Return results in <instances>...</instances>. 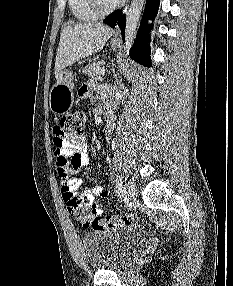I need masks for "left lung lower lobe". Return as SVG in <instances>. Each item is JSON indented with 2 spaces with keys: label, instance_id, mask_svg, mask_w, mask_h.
Returning <instances> with one entry per match:
<instances>
[{
  "label": "left lung lower lobe",
  "instance_id": "1",
  "mask_svg": "<svg viewBox=\"0 0 233 286\" xmlns=\"http://www.w3.org/2000/svg\"><path fill=\"white\" fill-rule=\"evenodd\" d=\"M159 6V0H147L144 17L139 29V33L133 48L130 51V56L137 62L145 65L151 66L150 59V49L148 46L150 26L147 25L148 19H153L157 13ZM122 12L117 10L107 16L103 22L112 26L118 24L122 31L123 41H125L124 31H125V19L121 17Z\"/></svg>",
  "mask_w": 233,
  "mask_h": 286
}]
</instances>
